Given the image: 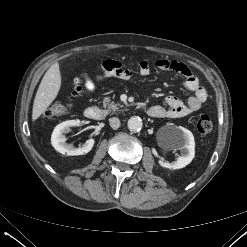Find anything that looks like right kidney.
<instances>
[{
	"instance_id": "ca27d5eb",
	"label": "right kidney",
	"mask_w": 247,
	"mask_h": 247,
	"mask_svg": "<svg viewBox=\"0 0 247 247\" xmlns=\"http://www.w3.org/2000/svg\"><path fill=\"white\" fill-rule=\"evenodd\" d=\"M80 125V120H69L58 124L54 128L51 136V143L54 149L68 156L84 155L90 152L95 143L93 138L87 140L83 146L79 148H74L71 144L65 143L66 137L63 135V133H68L70 131V127H79Z\"/></svg>"
}]
</instances>
